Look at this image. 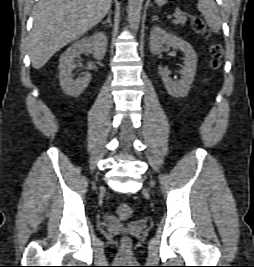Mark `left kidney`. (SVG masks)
I'll return each mask as SVG.
<instances>
[{
    "mask_svg": "<svg viewBox=\"0 0 254 267\" xmlns=\"http://www.w3.org/2000/svg\"><path fill=\"white\" fill-rule=\"evenodd\" d=\"M150 51L157 55L164 51L165 46L179 49L185 54L184 69L181 71V79L175 81L170 77V71L163 69L161 72L164 86L169 95L175 98L185 97L194 80L197 66V55L193 47L182 38L167 33L158 26H154L150 32Z\"/></svg>",
    "mask_w": 254,
    "mask_h": 267,
    "instance_id": "left-kidney-1",
    "label": "left kidney"
}]
</instances>
